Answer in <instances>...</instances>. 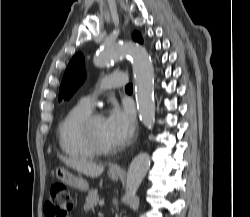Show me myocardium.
Returning <instances> with one entry per match:
<instances>
[{"label": "myocardium", "mask_w": 250, "mask_h": 217, "mask_svg": "<svg viewBox=\"0 0 250 217\" xmlns=\"http://www.w3.org/2000/svg\"><path fill=\"white\" fill-rule=\"evenodd\" d=\"M100 111H91L81 122L80 130L85 143L89 148L98 155H108L116 152L115 147H106L102 145L96 138L94 133V122L97 118L102 117Z\"/></svg>", "instance_id": "f54148a6"}]
</instances>
